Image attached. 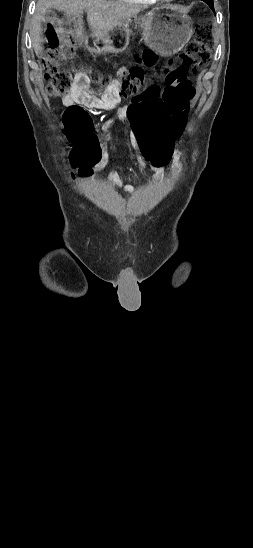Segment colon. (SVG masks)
Listing matches in <instances>:
<instances>
[{
	"instance_id": "1",
	"label": "colon",
	"mask_w": 253,
	"mask_h": 548,
	"mask_svg": "<svg viewBox=\"0 0 253 548\" xmlns=\"http://www.w3.org/2000/svg\"><path fill=\"white\" fill-rule=\"evenodd\" d=\"M78 32L80 29L78 28ZM53 41L43 56L46 71V93L50 96L68 94L73 86V71L63 67V61L73 55L70 36L66 32L64 42L54 32ZM211 33L206 25L198 28L196 36L174 60H164L161 78L147 81L140 95L138 91L144 81L141 69L135 67L129 73L120 75L119 94L129 105L126 123L134 137L139 139L138 148L144 159L152 166H168L175 137H182L183 125L194 97L192 78L188 72H195L206 66L210 60ZM144 62L153 60L149 52L143 54ZM75 68H80L77 65ZM92 79L105 86L112 84L109 76L94 73ZM170 96V97H168ZM64 121L72 151L70 160L80 166V173H87L86 166L98 160L101 154L99 141L92 130L88 113L78 105L64 111Z\"/></svg>"
}]
</instances>
